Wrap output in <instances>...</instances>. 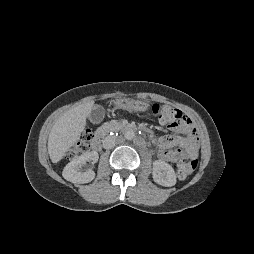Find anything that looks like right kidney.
I'll return each instance as SVG.
<instances>
[{
  "instance_id": "ca27d5eb",
  "label": "right kidney",
  "mask_w": 254,
  "mask_h": 254,
  "mask_svg": "<svg viewBox=\"0 0 254 254\" xmlns=\"http://www.w3.org/2000/svg\"><path fill=\"white\" fill-rule=\"evenodd\" d=\"M98 158V153L92 151L85 152L73 159L63 170L62 175L64 179L78 184L91 182L95 177V172L90 168L85 169L84 167L87 162H92L93 164L96 163Z\"/></svg>"
}]
</instances>
